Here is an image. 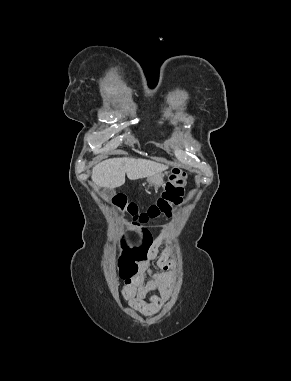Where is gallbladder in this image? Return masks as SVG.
Masks as SVG:
<instances>
[{"label": "gallbladder", "mask_w": 291, "mask_h": 381, "mask_svg": "<svg viewBox=\"0 0 291 381\" xmlns=\"http://www.w3.org/2000/svg\"><path fill=\"white\" fill-rule=\"evenodd\" d=\"M102 195L104 198H106L107 200H110L111 198L114 197L115 195V190L114 189H110V188H103L102 189Z\"/></svg>", "instance_id": "bac80fb5"}]
</instances>
